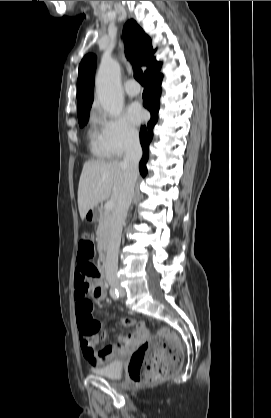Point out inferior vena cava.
<instances>
[{
    "mask_svg": "<svg viewBox=\"0 0 271 418\" xmlns=\"http://www.w3.org/2000/svg\"><path fill=\"white\" fill-rule=\"evenodd\" d=\"M142 157V148L139 137L133 136L126 148L123 165L125 167V180L122 192L116 202L111 218V233L105 261V275L110 284L118 282V252L121 241L122 227L125 223L130 207L135 183L138 176V164Z\"/></svg>",
    "mask_w": 271,
    "mask_h": 418,
    "instance_id": "602c4592",
    "label": "inferior vena cava"
}]
</instances>
